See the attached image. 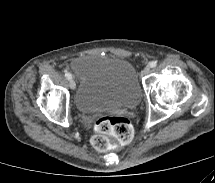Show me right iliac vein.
Listing matches in <instances>:
<instances>
[{
	"mask_svg": "<svg viewBox=\"0 0 215 183\" xmlns=\"http://www.w3.org/2000/svg\"><path fill=\"white\" fill-rule=\"evenodd\" d=\"M69 87L74 90L76 88V83L73 79L69 80Z\"/></svg>",
	"mask_w": 215,
	"mask_h": 183,
	"instance_id": "right-iliac-vein-1",
	"label": "right iliac vein"
}]
</instances>
